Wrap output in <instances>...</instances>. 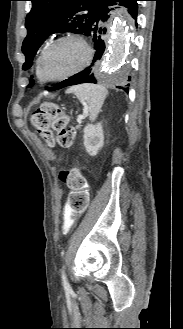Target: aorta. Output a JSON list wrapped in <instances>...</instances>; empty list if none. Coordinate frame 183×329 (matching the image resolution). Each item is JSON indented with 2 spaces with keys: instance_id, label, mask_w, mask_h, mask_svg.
Segmentation results:
<instances>
[{
  "instance_id": "1",
  "label": "aorta",
  "mask_w": 183,
  "mask_h": 329,
  "mask_svg": "<svg viewBox=\"0 0 183 329\" xmlns=\"http://www.w3.org/2000/svg\"><path fill=\"white\" fill-rule=\"evenodd\" d=\"M129 22L125 15H117L113 22L109 52L103 64V75L109 81L121 79V70L129 47Z\"/></svg>"
}]
</instances>
